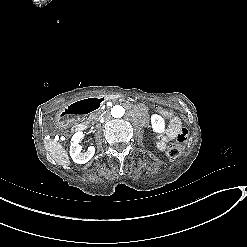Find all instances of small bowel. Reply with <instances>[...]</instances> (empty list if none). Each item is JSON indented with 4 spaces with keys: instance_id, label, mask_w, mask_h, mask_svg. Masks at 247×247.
<instances>
[{
    "instance_id": "obj_1",
    "label": "small bowel",
    "mask_w": 247,
    "mask_h": 247,
    "mask_svg": "<svg viewBox=\"0 0 247 247\" xmlns=\"http://www.w3.org/2000/svg\"><path fill=\"white\" fill-rule=\"evenodd\" d=\"M169 114V113H167ZM182 130V124L178 117H173L170 121L168 129L165 135L159 137L157 141V147L160 150H165L169 142L173 139H176Z\"/></svg>"
}]
</instances>
